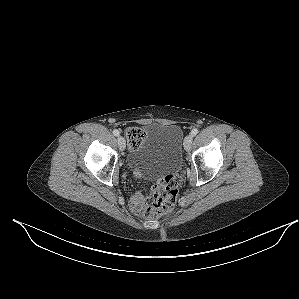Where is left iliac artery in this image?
I'll return each mask as SVG.
<instances>
[{
	"mask_svg": "<svg viewBox=\"0 0 299 299\" xmlns=\"http://www.w3.org/2000/svg\"><path fill=\"white\" fill-rule=\"evenodd\" d=\"M198 129H196V128H194L192 131H191V135L192 136H195V135H197L198 134Z\"/></svg>",
	"mask_w": 299,
	"mask_h": 299,
	"instance_id": "left-iliac-artery-1",
	"label": "left iliac artery"
}]
</instances>
